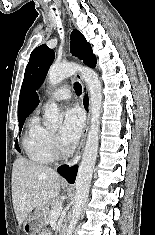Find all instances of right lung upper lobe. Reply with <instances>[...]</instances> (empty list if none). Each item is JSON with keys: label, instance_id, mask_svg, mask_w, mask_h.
Listing matches in <instances>:
<instances>
[{"label": "right lung upper lobe", "instance_id": "obj_1", "mask_svg": "<svg viewBox=\"0 0 155 235\" xmlns=\"http://www.w3.org/2000/svg\"><path fill=\"white\" fill-rule=\"evenodd\" d=\"M39 104V97L33 93L22 106L18 105V120L26 118Z\"/></svg>", "mask_w": 155, "mask_h": 235}]
</instances>
